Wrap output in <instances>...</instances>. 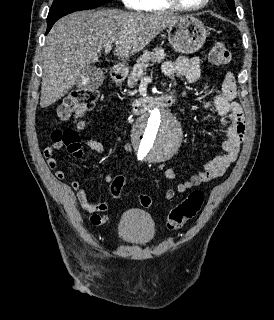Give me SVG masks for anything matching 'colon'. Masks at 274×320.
<instances>
[{"label": "colon", "instance_id": "colon-1", "mask_svg": "<svg viewBox=\"0 0 274 320\" xmlns=\"http://www.w3.org/2000/svg\"><path fill=\"white\" fill-rule=\"evenodd\" d=\"M209 61L214 66L223 67L231 63L232 54L223 41L212 45L209 52ZM98 100V93L94 89L79 88L71 90L65 97L63 103L55 112L54 124L67 123V120H78L79 117L91 111ZM51 143L64 145L72 152H78L81 148V140L77 131H72L71 127L60 129L55 127L51 133ZM117 182H109L108 188L112 193H120L125 188V176L117 175ZM141 202L148 205L151 201L143 197ZM204 203V193L200 190H193L187 198L178 203L168 215L167 226L170 229H178L183 224L193 219Z\"/></svg>", "mask_w": 274, "mask_h": 320}]
</instances>
